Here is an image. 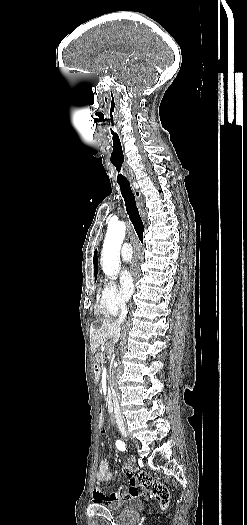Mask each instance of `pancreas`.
<instances>
[{
  "instance_id": "obj_1",
  "label": "pancreas",
  "mask_w": 247,
  "mask_h": 525,
  "mask_svg": "<svg viewBox=\"0 0 247 525\" xmlns=\"http://www.w3.org/2000/svg\"><path fill=\"white\" fill-rule=\"evenodd\" d=\"M96 361H98V364H101V358H99V355H95Z\"/></svg>"
}]
</instances>
